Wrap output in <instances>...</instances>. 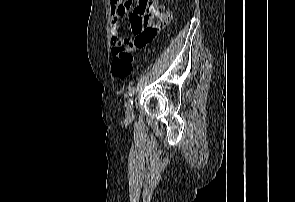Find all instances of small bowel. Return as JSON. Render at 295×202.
Returning <instances> with one entry per match:
<instances>
[{
	"label": "small bowel",
	"mask_w": 295,
	"mask_h": 202,
	"mask_svg": "<svg viewBox=\"0 0 295 202\" xmlns=\"http://www.w3.org/2000/svg\"><path fill=\"white\" fill-rule=\"evenodd\" d=\"M111 42L113 52L124 46L120 38V20L130 11L129 24L135 38L130 48L145 46L157 31L170 20V11L158 0H138L132 8L131 0H110Z\"/></svg>",
	"instance_id": "c3829d8e"
}]
</instances>
